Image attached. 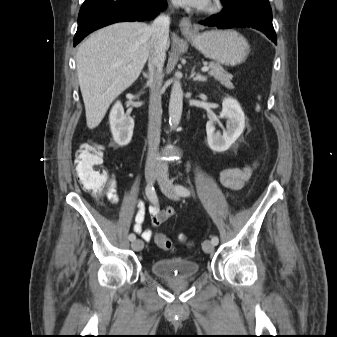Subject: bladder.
Masks as SVG:
<instances>
[{"mask_svg": "<svg viewBox=\"0 0 337 337\" xmlns=\"http://www.w3.org/2000/svg\"><path fill=\"white\" fill-rule=\"evenodd\" d=\"M152 273L159 278H190L200 271V265L183 257H172L154 260Z\"/></svg>", "mask_w": 337, "mask_h": 337, "instance_id": "obj_1", "label": "bladder"}]
</instances>
